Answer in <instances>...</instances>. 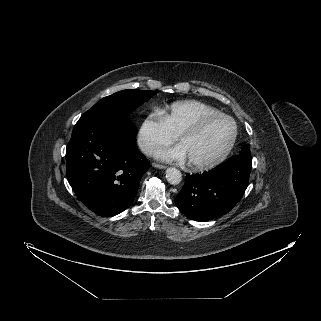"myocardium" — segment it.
I'll list each match as a JSON object with an SVG mask.
<instances>
[{"label": "myocardium", "instance_id": "myocardium-1", "mask_svg": "<svg viewBox=\"0 0 321 321\" xmlns=\"http://www.w3.org/2000/svg\"><path fill=\"white\" fill-rule=\"evenodd\" d=\"M215 119H226L229 120L232 123L233 126V131L232 135L230 138V141L228 142L227 146L225 149L221 152V154L216 157L215 159L208 161V162H197V161H190L189 160V165L192 169L195 170H208L212 169L218 165H220L231 153L236 140L238 136V125L235 119L227 114L224 113H216V114H211V115H206L193 124L189 125L188 127L182 129L178 134H177V139L181 141V139L184 136H189V135H194L197 132H199L207 123L215 120Z\"/></svg>", "mask_w": 321, "mask_h": 321}]
</instances>
